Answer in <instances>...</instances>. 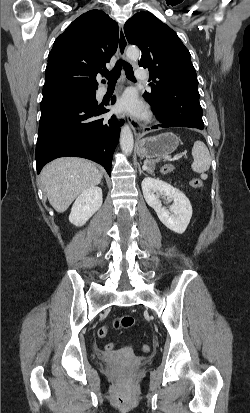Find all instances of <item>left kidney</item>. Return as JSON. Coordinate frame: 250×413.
I'll return each mask as SVG.
<instances>
[{
	"label": "left kidney",
	"mask_w": 250,
	"mask_h": 413,
	"mask_svg": "<svg viewBox=\"0 0 250 413\" xmlns=\"http://www.w3.org/2000/svg\"><path fill=\"white\" fill-rule=\"evenodd\" d=\"M141 185L145 201L155 210L160 221L175 233H184L192 217V206L185 194L152 177L144 178ZM161 198L173 200L169 209L162 206Z\"/></svg>",
	"instance_id": "left-kidney-1"
}]
</instances>
